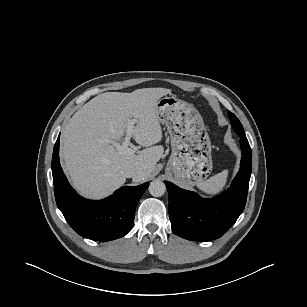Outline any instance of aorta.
Returning a JSON list of instances; mask_svg holds the SVG:
<instances>
[{"mask_svg": "<svg viewBox=\"0 0 307 307\" xmlns=\"http://www.w3.org/2000/svg\"><path fill=\"white\" fill-rule=\"evenodd\" d=\"M149 193L154 197H160L164 195L166 191V186L164 182L159 180H154L149 185Z\"/></svg>", "mask_w": 307, "mask_h": 307, "instance_id": "762f6f07", "label": "aorta"}]
</instances>
